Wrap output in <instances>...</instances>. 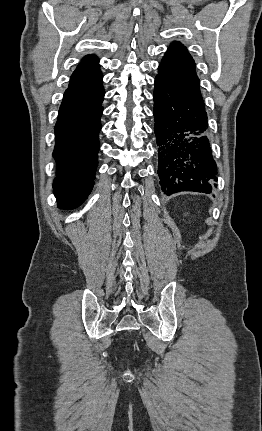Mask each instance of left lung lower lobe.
Instances as JSON below:
<instances>
[{
  "instance_id": "left-lung-lower-lobe-1",
  "label": "left lung lower lobe",
  "mask_w": 262,
  "mask_h": 431,
  "mask_svg": "<svg viewBox=\"0 0 262 431\" xmlns=\"http://www.w3.org/2000/svg\"><path fill=\"white\" fill-rule=\"evenodd\" d=\"M153 114L162 191L211 193L217 186V166L204 105L156 78Z\"/></svg>"
}]
</instances>
